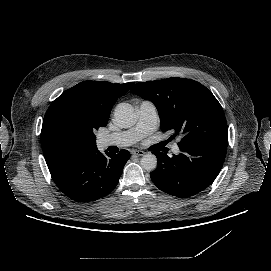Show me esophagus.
<instances>
[{
    "instance_id": "1",
    "label": "esophagus",
    "mask_w": 271,
    "mask_h": 271,
    "mask_svg": "<svg viewBox=\"0 0 271 271\" xmlns=\"http://www.w3.org/2000/svg\"><path fill=\"white\" fill-rule=\"evenodd\" d=\"M133 155H137V156H143L145 154L144 151H140V150H133L132 151Z\"/></svg>"
}]
</instances>
